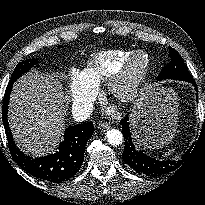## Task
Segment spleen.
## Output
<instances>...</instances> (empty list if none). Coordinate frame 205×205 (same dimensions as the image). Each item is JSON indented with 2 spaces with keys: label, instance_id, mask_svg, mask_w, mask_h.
I'll use <instances>...</instances> for the list:
<instances>
[{
  "label": "spleen",
  "instance_id": "3e777b00",
  "mask_svg": "<svg viewBox=\"0 0 205 205\" xmlns=\"http://www.w3.org/2000/svg\"><path fill=\"white\" fill-rule=\"evenodd\" d=\"M172 151H173V150H169V151L167 152V153H168V155H169V154H171V152H172ZM166 155H167V154H166Z\"/></svg>",
  "mask_w": 205,
  "mask_h": 205
}]
</instances>
